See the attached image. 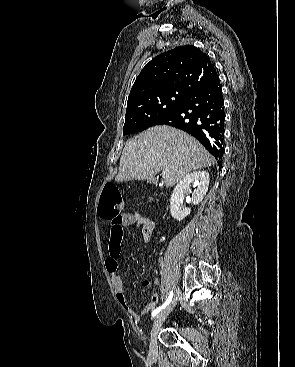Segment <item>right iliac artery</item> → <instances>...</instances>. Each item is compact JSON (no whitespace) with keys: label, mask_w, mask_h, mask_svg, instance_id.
Returning <instances> with one entry per match:
<instances>
[{"label":"right iliac artery","mask_w":295,"mask_h":367,"mask_svg":"<svg viewBox=\"0 0 295 367\" xmlns=\"http://www.w3.org/2000/svg\"><path fill=\"white\" fill-rule=\"evenodd\" d=\"M172 298H173V291L170 292L169 297L167 298V300L165 301V303L162 306L156 308L152 312V317L156 316L163 308H165L172 301Z\"/></svg>","instance_id":"82829eb1"}]
</instances>
